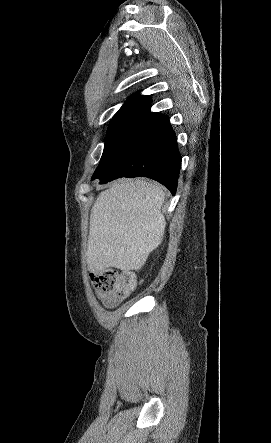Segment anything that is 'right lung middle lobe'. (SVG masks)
<instances>
[{
	"instance_id": "dd1d6c3e",
	"label": "right lung middle lobe",
	"mask_w": 271,
	"mask_h": 443,
	"mask_svg": "<svg viewBox=\"0 0 271 443\" xmlns=\"http://www.w3.org/2000/svg\"><path fill=\"white\" fill-rule=\"evenodd\" d=\"M150 111L147 103H125L112 119L99 166L93 175L103 171L114 159L125 138L139 120Z\"/></svg>"
}]
</instances>
